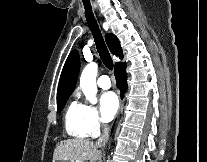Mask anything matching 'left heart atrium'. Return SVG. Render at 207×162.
Here are the masks:
<instances>
[{"label":"left heart atrium","mask_w":207,"mask_h":162,"mask_svg":"<svg viewBox=\"0 0 207 162\" xmlns=\"http://www.w3.org/2000/svg\"><path fill=\"white\" fill-rule=\"evenodd\" d=\"M119 108V99L114 92H106L100 98V113L104 122H109Z\"/></svg>","instance_id":"39dd6f15"}]
</instances>
